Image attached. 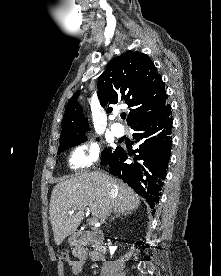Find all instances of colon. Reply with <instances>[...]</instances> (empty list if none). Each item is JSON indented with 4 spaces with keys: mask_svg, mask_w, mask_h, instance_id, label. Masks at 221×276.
Instances as JSON below:
<instances>
[{
    "mask_svg": "<svg viewBox=\"0 0 221 276\" xmlns=\"http://www.w3.org/2000/svg\"><path fill=\"white\" fill-rule=\"evenodd\" d=\"M59 258L62 262H67V263H70V261L72 260L71 254L69 252H62Z\"/></svg>",
    "mask_w": 221,
    "mask_h": 276,
    "instance_id": "colon-1",
    "label": "colon"
}]
</instances>
